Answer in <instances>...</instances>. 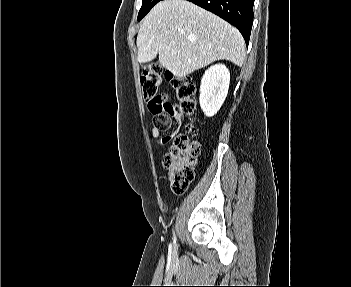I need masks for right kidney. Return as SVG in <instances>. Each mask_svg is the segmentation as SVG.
I'll return each instance as SVG.
<instances>
[{"instance_id":"right-kidney-1","label":"right kidney","mask_w":351,"mask_h":287,"mask_svg":"<svg viewBox=\"0 0 351 287\" xmlns=\"http://www.w3.org/2000/svg\"><path fill=\"white\" fill-rule=\"evenodd\" d=\"M230 83L229 70L223 64L208 68L200 86V107L207 117H213L221 108L228 94Z\"/></svg>"}]
</instances>
